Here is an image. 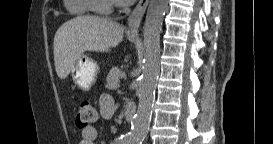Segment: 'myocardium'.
<instances>
[{"label": "myocardium", "instance_id": "f54148a6", "mask_svg": "<svg viewBox=\"0 0 273 144\" xmlns=\"http://www.w3.org/2000/svg\"><path fill=\"white\" fill-rule=\"evenodd\" d=\"M114 3L109 0H91L90 9L100 14H108L114 10Z\"/></svg>", "mask_w": 273, "mask_h": 144}]
</instances>
